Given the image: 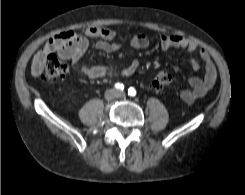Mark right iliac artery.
<instances>
[{
	"label": "right iliac artery",
	"mask_w": 245,
	"mask_h": 195,
	"mask_svg": "<svg viewBox=\"0 0 245 195\" xmlns=\"http://www.w3.org/2000/svg\"><path fill=\"white\" fill-rule=\"evenodd\" d=\"M115 88L117 90L123 91L124 90V85L122 83H116Z\"/></svg>",
	"instance_id": "82829eb1"
}]
</instances>
